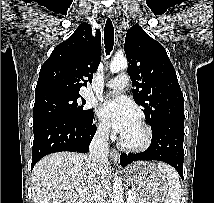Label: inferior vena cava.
<instances>
[{
    "label": "inferior vena cava",
    "mask_w": 214,
    "mask_h": 203,
    "mask_svg": "<svg viewBox=\"0 0 214 203\" xmlns=\"http://www.w3.org/2000/svg\"><path fill=\"white\" fill-rule=\"evenodd\" d=\"M109 128L100 127L94 135L89 153L86 156V165L89 169L91 194L89 203H104L107 190L108 174V137Z\"/></svg>",
    "instance_id": "obj_1"
}]
</instances>
